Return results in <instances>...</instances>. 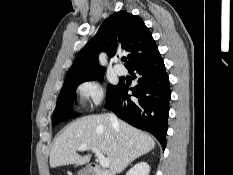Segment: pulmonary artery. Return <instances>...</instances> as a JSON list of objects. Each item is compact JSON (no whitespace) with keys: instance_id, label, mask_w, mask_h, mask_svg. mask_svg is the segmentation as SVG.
Segmentation results:
<instances>
[{"instance_id":"1","label":"pulmonary artery","mask_w":233,"mask_h":175,"mask_svg":"<svg viewBox=\"0 0 233 175\" xmlns=\"http://www.w3.org/2000/svg\"><path fill=\"white\" fill-rule=\"evenodd\" d=\"M114 70L118 75H123L125 73V69L121 65H116Z\"/></svg>"}]
</instances>
